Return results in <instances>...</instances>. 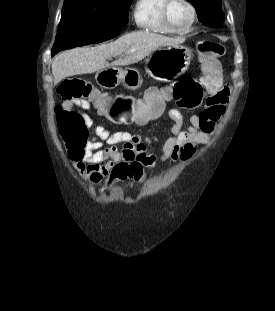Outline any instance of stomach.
<instances>
[{
  "instance_id": "obj_1",
  "label": "stomach",
  "mask_w": 275,
  "mask_h": 311,
  "mask_svg": "<svg viewBox=\"0 0 275 311\" xmlns=\"http://www.w3.org/2000/svg\"><path fill=\"white\" fill-rule=\"evenodd\" d=\"M193 50L183 45H168L155 50L146 60V72L157 80L169 82L182 75L189 67ZM97 83L103 88L122 84L128 89H138L143 79L136 69L107 67L97 71Z\"/></svg>"
}]
</instances>
